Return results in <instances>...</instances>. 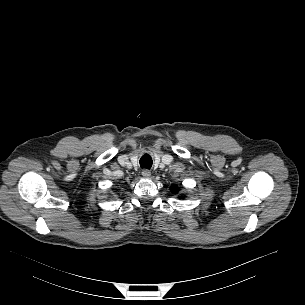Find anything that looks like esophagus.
Listing matches in <instances>:
<instances>
[{"instance_id": "obj_1", "label": "esophagus", "mask_w": 305, "mask_h": 305, "mask_svg": "<svg viewBox=\"0 0 305 305\" xmlns=\"http://www.w3.org/2000/svg\"><path fill=\"white\" fill-rule=\"evenodd\" d=\"M142 176H143L144 178H149V177L151 176L150 170L144 169V170L142 171Z\"/></svg>"}]
</instances>
